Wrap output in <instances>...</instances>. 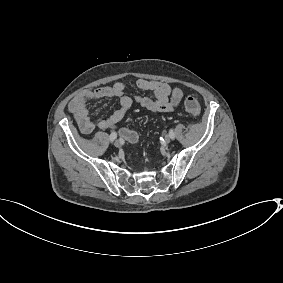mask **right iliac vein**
I'll return each instance as SVG.
<instances>
[{"mask_svg": "<svg viewBox=\"0 0 283 283\" xmlns=\"http://www.w3.org/2000/svg\"><path fill=\"white\" fill-rule=\"evenodd\" d=\"M114 145H115V147L120 148L121 147V142L119 140H116Z\"/></svg>", "mask_w": 283, "mask_h": 283, "instance_id": "obj_1", "label": "right iliac vein"}]
</instances>
